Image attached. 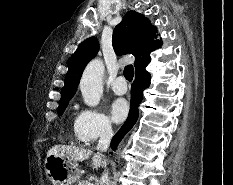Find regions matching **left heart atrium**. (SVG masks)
I'll return each instance as SVG.
<instances>
[{"instance_id":"1","label":"left heart atrium","mask_w":233,"mask_h":185,"mask_svg":"<svg viewBox=\"0 0 233 185\" xmlns=\"http://www.w3.org/2000/svg\"><path fill=\"white\" fill-rule=\"evenodd\" d=\"M128 103L122 98L115 99L110 106V115L114 122H121L128 113Z\"/></svg>"}]
</instances>
